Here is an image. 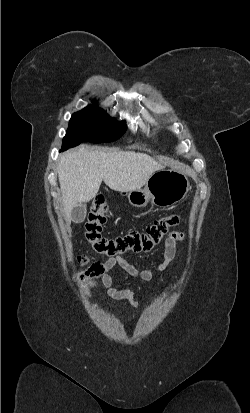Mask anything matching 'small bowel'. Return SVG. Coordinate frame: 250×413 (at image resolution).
Here are the masks:
<instances>
[{
	"label": "small bowel",
	"mask_w": 250,
	"mask_h": 413,
	"mask_svg": "<svg viewBox=\"0 0 250 413\" xmlns=\"http://www.w3.org/2000/svg\"><path fill=\"white\" fill-rule=\"evenodd\" d=\"M183 237L184 234L181 232H172L166 238L163 253L164 261L154 267L156 271L165 270L171 261L179 257L180 253L177 248V243L181 241ZM115 267H119L129 276L143 281L153 279V270L138 269L122 255L112 256L103 264L101 280L106 288L107 295L115 300H127L133 307H139L140 303L134 298V292L131 289L115 288L112 286L111 272Z\"/></svg>",
	"instance_id": "obj_1"
}]
</instances>
